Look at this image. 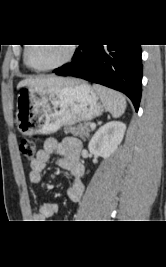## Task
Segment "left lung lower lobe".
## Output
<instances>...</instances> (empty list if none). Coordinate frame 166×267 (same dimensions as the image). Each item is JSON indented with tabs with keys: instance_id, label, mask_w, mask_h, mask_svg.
I'll use <instances>...</instances> for the list:
<instances>
[{
	"instance_id": "obj_1",
	"label": "left lung lower lobe",
	"mask_w": 166,
	"mask_h": 267,
	"mask_svg": "<svg viewBox=\"0 0 166 267\" xmlns=\"http://www.w3.org/2000/svg\"><path fill=\"white\" fill-rule=\"evenodd\" d=\"M73 58V62L53 72L123 92L138 111L142 90L140 45H79Z\"/></svg>"
}]
</instances>
